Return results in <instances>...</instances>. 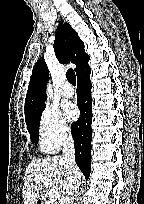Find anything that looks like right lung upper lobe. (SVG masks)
I'll return each instance as SVG.
<instances>
[{
	"instance_id": "obj_1",
	"label": "right lung upper lobe",
	"mask_w": 144,
	"mask_h": 204,
	"mask_svg": "<svg viewBox=\"0 0 144 204\" xmlns=\"http://www.w3.org/2000/svg\"><path fill=\"white\" fill-rule=\"evenodd\" d=\"M54 51L61 63L76 64V74L88 68L89 55L85 53L84 43L75 30L68 24L62 23L55 32ZM49 78L46 63L39 60L33 67L25 99V119H28L45 106V83Z\"/></svg>"
}]
</instances>
